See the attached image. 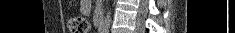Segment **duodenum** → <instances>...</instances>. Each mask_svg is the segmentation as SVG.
Here are the masks:
<instances>
[{"instance_id": "1", "label": "duodenum", "mask_w": 235, "mask_h": 33, "mask_svg": "<svg viewBox=\"0 0 235 33\" xmlns=\"http://www.w3.org/2000/svg\"><path fill=\"white\" fill-rule=\"evenodd\" d=\"M98 29L100 33H103V29H104V21L103 18L100 17L98 20Z\"/></svg>"}]
</instances>
